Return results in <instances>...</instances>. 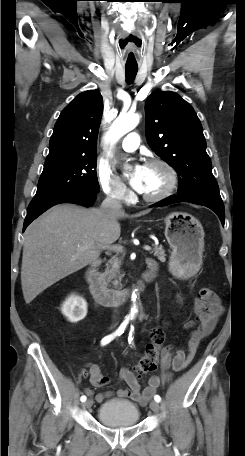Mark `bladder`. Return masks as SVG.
Masks as SVG:
<instances>
[{"mask_svg":"<svg viewBox=\"0 0 245 456\" xmlns=\"http://www.w3.org/2000/svg\"><path fill=\"white\" fill-rule=\"evenodd\" d=\"M97 419L101 424L112 428L133 427L140 420V410L128 400L111 399L100 405Z\"/></svg>","mask_w":245,"mask_h":456,"instance_id":"31cf9c89","label":"bladder"}]
</instances>
